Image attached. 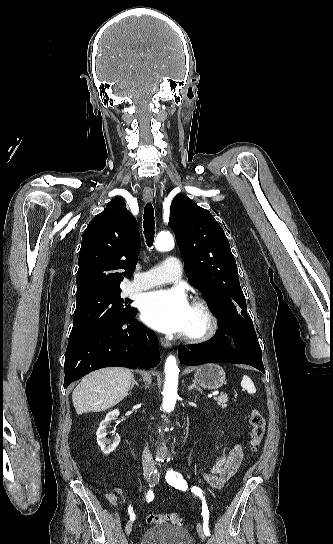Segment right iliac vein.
I'll use <instances>...</instances> for the list:
<instances>
[{
    "label": "right iliac vein",
    "instance_id": "obj_1",
    "mask_svg": "<svg viewBox=\"0 0 333 544\" xmlns=\"http://www.w3.org/2000/svg\"><path fill=\"white\" fill-rule=\"evenodd\" d=\"M151 474H152V470H150V469H145V470H144V477H145V479H149L150 476H151ZM132 526H133V522H132L131 520L128 521V522L126 523V526H125V533H126L127 536L130 535L131 530H132Z\"/></svg>",
    "mask_w": 333,
    "mask_h": 544
}]
</instances>
